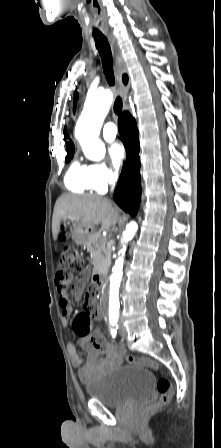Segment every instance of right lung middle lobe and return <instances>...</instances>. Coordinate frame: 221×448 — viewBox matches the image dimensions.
<instances>
[{"mask_svg": "<svg viewBox=\"0 0 221 448\" xmlns=\"http://www.w3.org/2000/svg\"><path fill=\"white\" fill-rule=\"evenodd\" d=\"M72 157H73V153H67V156H66L65 161H66V162H70V160L72 159Z\"/></svg>", "mask_w": 221, "mask_h": 448, "instance_id": "1", "label": "right lung middle lobe"}]
</instances>
